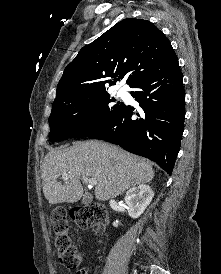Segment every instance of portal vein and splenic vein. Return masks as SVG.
<instances>
[{"label": "portal vein and splenic vein", "mask_w": 221, "mask_h": 274, "mask_svg": "<svg viewBox=\"0 0 221 274\" xmlns=\"http://www.w3.org/2000/svg\"><path fill=\"white\" fill-rule=\"evenodd\" d=\"M68 175H66V176H64L63 178L64 179H68ZM82 178H83V180H84V182H86V183H88L89 184V186H93V185H96V180L94 179V178H90V179H88L86 176H82Z\"/></svg>", "instance_id": "18ae733b"}]
</instances>
